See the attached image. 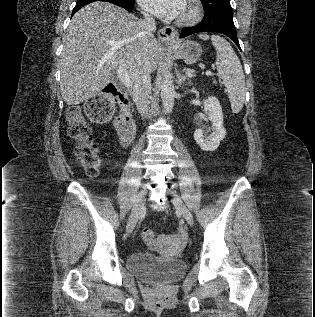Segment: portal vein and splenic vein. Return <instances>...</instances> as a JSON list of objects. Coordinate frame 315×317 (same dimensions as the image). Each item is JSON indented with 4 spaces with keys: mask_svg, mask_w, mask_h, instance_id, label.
<instances>
[{
    "mask_svg": "<svg viewBox=\"0 0 315 317\" xmlns=\"http://www.w3.org/2000/svg\"><path fill=\"white\" fill-rule=\"evenodd\" d=\"M117 74H118V77L120 79V81L125 85V86H131L132 85V82L129 78V75L127 74V72L125 71L124 67H118L117 69ZM206 75L207 76H211L212 75V72L211 71H206ZM186 76L187 77H194L195 74L193 73V71H188L186 72Z\"/></svg>",
    "mask_w": 315,
    "mask_h": 317,
    "instance_id": "obj_1",
    "label": "portal vein and splenic vein"
}]
</instances>
